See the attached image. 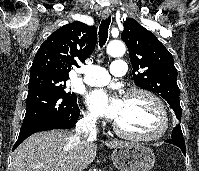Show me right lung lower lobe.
Instances as JSON below:
<instances>
[{
  "label": "right lung lower lobe",
  "instance_id": "1",
  "mask_svg": "<svg viewBox=\"0 0 199 171\" xmlns=\"http://www.w3.org/2000/svg\"><path fill=\"white\" fill-rule=\"evenodd\" d=\"M76 101L48 86L29 89L25 118L13 150L36 132L72 128L80 115Z\"/></svg>",
  "mask_w": 199,
  "mask_h": 171
}]
</instances>
